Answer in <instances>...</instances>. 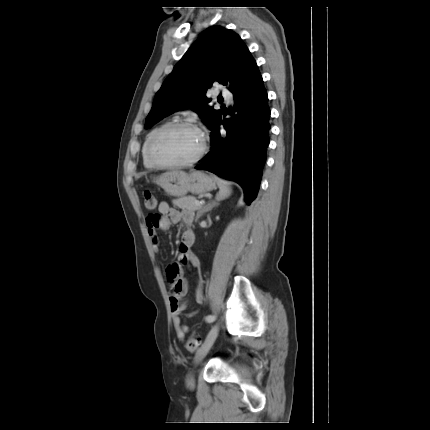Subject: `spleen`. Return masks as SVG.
Wrapping results in <instances>:
<instances>
[{
    "label": "spleen",
    "instance_id": "3e777b00",
    "mask_svg": "<svg viewBox=\"0 0 430 430\" xmlns=\"http://www.w3.org/2000/svg\"><path fill=\"white\" fill-rule=\"evenodd\" d=\"M213 179L217 182V184L220 188V191L217 195V200H223V199L227 198L231 193V189L227 185L226 181H224L223 179H221L217 176H213Z\"/></svg>",
    "mask_w": 430,
    "mask_h": 430
}]
</instances>
